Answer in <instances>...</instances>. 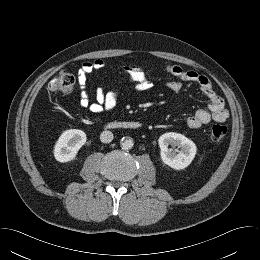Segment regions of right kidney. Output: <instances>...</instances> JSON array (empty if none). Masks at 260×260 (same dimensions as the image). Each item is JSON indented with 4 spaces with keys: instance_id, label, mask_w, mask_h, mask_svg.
<instances>
[{
    "instance_id": "1",
    "label": "right kidney",
    "mask_w": 260,
    "mask_h": 260,
    "mask_svg": "<svg viewBox=\"0 0 260 260\" xmlns=\"http://www.w3.org/2000/svg\"><path fill=\"white\" fill-rule=\"evenodd\" d=\"M86 134L79 129H69L64 131L54 146V157L59 162H68L73 160L79 149L86 142Z\"/></svg>"
}]
</instances>
